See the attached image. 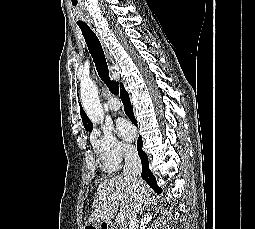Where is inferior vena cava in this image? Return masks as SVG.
<instances>
[{"mask_svg":"<svg viewBox=\"0 0 255 229\" xmlns=\"http://www.w3.org/2000/svg\"><path fill=\"white\" fill-rule=\"evenodd\" d=\"M125 165L123 169V175L133 182L135 189V202L132 207V212L129 220V226L136 224L137 214L141 210L142 203L145 200V196L142 191L139 189L138 177L142 172V164L139 158L137 149L133 146H127L124 149Z\"/></svg>","mask_w":255,"mask_h":229,"instance_id":"inferior-vena-cava-1","label":"inferior vena cava"}]
</instances>
